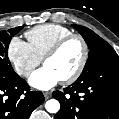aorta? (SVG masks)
Returning <instances> with one entry per match:
<instances>
[{"label": "aorta", "instance_id": "762f6f07", "mask_svg": "<svg viewBox=\"0 0 119 119\" xmlns=\"http://www.w3.org/2000/svg\"><path fill=\"white\" fill-rule=\"evenodd\" d=\"M45 108L49 113H57L60 109V103L56 99H50L46 102Z\"/></svg>", "mask_w": 119, "mask_h": 119}]
</instances>
